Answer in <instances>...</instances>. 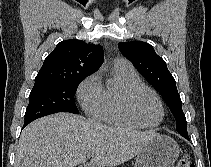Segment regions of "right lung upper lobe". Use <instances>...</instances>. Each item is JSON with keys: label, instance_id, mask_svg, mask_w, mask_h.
I'll list each match as a JSON object with an SVG mask.
<instances>
[{"label": "right lung upper lobe", "instance_id": "right-lung-upper-lobe-1", "mask_svg": "<svg viewBox=\"0 0 211 167\" xmlns=\"http://www.w3.org/2000/svg\"><path fill=\"white\" fill-rule=\"evenodd\" d=\"M103 61L100 45L81 40H65L57 44L38 72L35 83L65 82L85 78L96 72Z\"/></svg>", "mask_w": 211, "mask_h": 167}]
</instances>
